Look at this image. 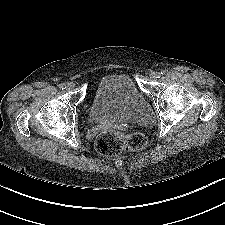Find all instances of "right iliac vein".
I'll list each match as a JSON object with an SVG mask.
<instances>
[{
  "mask_svg": "<svg viewBox=\"0 0 225 225\" xmlns=\"http://www.w3.org/2000/svg\"><path fill=\"white\" fill-rule=\"evenodd\" d=\"M74 84L73 83H68L67 85H66V89L68 90V91H72L73 89H74Z\"/></svg>",
  "mask_w": 225,
  "mask_h": 225,
  "instance_id": "obj_1",
  "label": "right iliac vein"
}]
</instances>
